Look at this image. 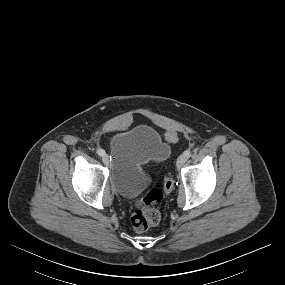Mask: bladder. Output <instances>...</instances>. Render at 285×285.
Here are the masks:
<instances>
[{
    "label": "bladder",
    "instance_id": "31cf9c89",
    "mask_svg": "<svg viewBox=\"0 0 285 285\" xmlns=\"http://www.w3.org/2000/svg\"><path fill=\"white\" fill-rule=\"evenodd\" d=\"M109 151L114 190L122 197L133 198L149 184L144 165L167 157L170 149L158 130L142 124L113 134Z\"/></svg>",
    "mask_w": 285,
    "mask_h": 285
}]
</instances>
